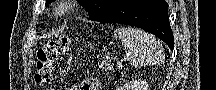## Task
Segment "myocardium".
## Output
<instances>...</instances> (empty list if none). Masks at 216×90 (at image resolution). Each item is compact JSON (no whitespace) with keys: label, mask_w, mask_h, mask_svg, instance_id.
Instances as JSON below:
<instances>
[{"label":"myocardium","mask_w":216,"mask_h":90,"mask_svg":"<svg viewBox=\"0 0 216 90\" xmlns=\"http://www.w3.org/2000/svg\"><path fill=\"white\" fill-rule=\"evenodd\" d=\"M60 3H78L81 2V0H59ZM64 12V7L58 5L56 7V15H60V13Z\"/></svg>","instance_id":"obj_1"}]
</instances>
